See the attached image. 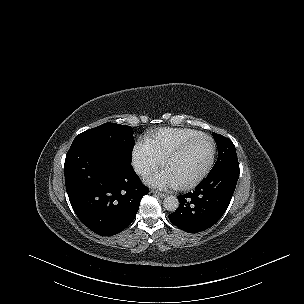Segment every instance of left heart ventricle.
<instances>
[{
    "mask_svg": "<svg viewBox=\"0 0 304 304\" xmlns=\"http://www.w3.org/2000/svg\"><path fill=\"white\" fill-rule=\"evenodd\" d=\"M211 151V142L203 139L171 161L167 173L177 184L189 182L203 170L210 158Z\"/></svg>",
    "mask_w": 304,
    "mask_h": 304,
    "instance_id": "left-heart-ventricle-1",
    "label": "left heart ventricle"
}]
</instances>
